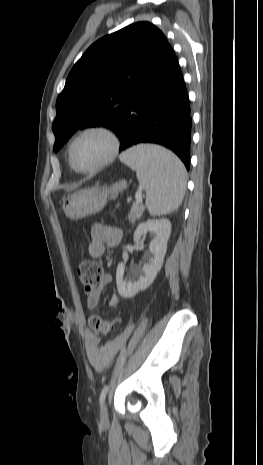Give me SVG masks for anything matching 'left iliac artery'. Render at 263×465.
<instances>
[{"label":"left iliac artery","instance_id":"44dca946","mask_svg":"<svg viewBox=\"0 0 263 465\" xmlns=\"http://www.w3.org/2000/svg\"><path fill=\"white\" fill-rule=\"evenodd\" d=\"M108 389H109L108 385L104 386V388L102 389L101 394H100V404L104 402Z\"/></svg>","mask_w":263,"mask_h":465}]
</instances>
